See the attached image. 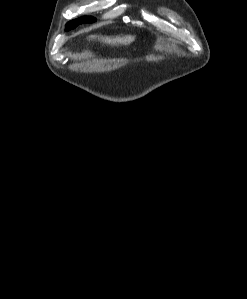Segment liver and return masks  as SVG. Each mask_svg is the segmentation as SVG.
<instances>
[{
  "instance_id": "6515ba94",
  "label": "liver",
  "mask_w": 247,
  "mask_h": 299,
  "mask_svg": "<svg viewBox=\"0 0 247 299\" xmlns=\"http://www.w3.org/2000/svg\"><path fill=\"white\" fill-rule=\"evenodd\" d=\"M89 38L91 39H95L97 38V36L91 35L89 36ZM98 39H100L101 41L107 43V44H111V45H129L130 43H132L135 40V36H131V35H127V36H118V37H98Z\"/></svg>"
}]
</instances>
